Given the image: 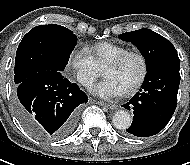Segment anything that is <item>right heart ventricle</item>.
<instances>
[{
  "instance_id": "e07e8e85",
  "label": "right heart ventricle",
  "mask_w": 190,
  "mask_h": 165,
  "mask_svg": "<svg viewBox=\"0 0 190 165\" xmlns=\"http://www.w3.org/2000/svg\"><path fill=\"white\" fill-rule=\"evenodd\" d=\"M87 50L93 57L98 67H104L109 61L129 49L119 43L103 41L90 45Z\"/></svg>"
}]
</instances>
